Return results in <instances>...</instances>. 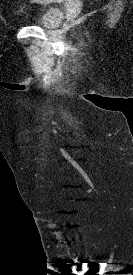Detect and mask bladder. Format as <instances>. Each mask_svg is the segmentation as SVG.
<instances>
[{"mask_svg":"<svg viewBox=\"0 0 133 275\" xmlns=\"http://www.w3.org/2000/svg\"><path fill=\"white\" fill-rule=\"evenodd\" d=\"M63 18L64 14L60 8L50 7L42 13L37 25L45 29H54L59 26Z\"/></svg>","mask_w":133,"mask_h":275,"instance_id":"bladder-1","label":"bladder"}]
</instances>
